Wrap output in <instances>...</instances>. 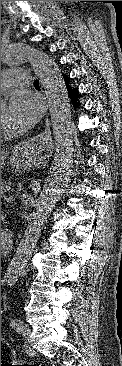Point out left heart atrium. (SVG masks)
Listing matches in <instances>:
<instances>
[{"label":"left heart atrium","instance_id":"obj_1","mask_svg":"<svg viewBox=\"0 0 122 366\" xmlns=\"http://www.w3.org/2000/svg\"><path fill=\"white\" fill-rule=\"evenodd\" d=\"M42 105L38 98L27 91L15 92L6 109L5 121L11 131H26L41 118Z\"/></svg>","mask_w":122,"mask_h":366}]
</instances>
